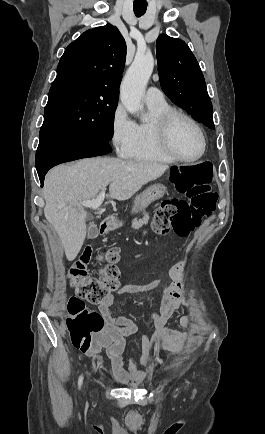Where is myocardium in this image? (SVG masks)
<instances>
[{"mask_svg": "<svg viewBox=\"0 0 265 434\" xmlns=\"http://www.w3.org/2000/svg\"><path fill=\"white\" fill-rule=\"evenodd\" d=\"M177 119H184L185 121L189 122L198 132L202 141V149L198 156L191 159H186L181 157L176 151L171 137L173 133V125ZM159 132V138L163 149L176 162L184 164H195L202 160L207 152L208 142L202 127L192 116L183 111L177 109H170L166 113H164L159 120Z\"/></svg>", "mask_w": 265, "mask_h": 434, "instance_id": "obj_1", "label": "myocardium"}]
</instances>
